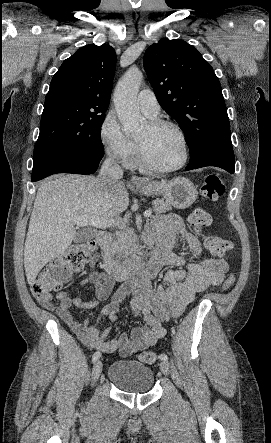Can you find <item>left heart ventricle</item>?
Instances as JSON below:
<instances>
[{
	"label": "left heart ventricle",
	"instance_id": "1",
	"mask_svg": "<svg viewBox=\"0 0 271 443\" xmlns=\"http://www.w3.org/2000/svg\"><path fill=\"white\" fill-rule=\"evenodd\" d=\"M135 138L144 147L150 160L159 166H172L183 158L182 139L171 127L152 129L146 123Z\"/></svg>",
	"mask_w": 271,
	"mask_h": 443
}]
</instances>
